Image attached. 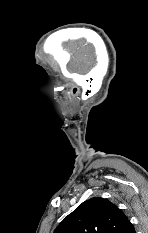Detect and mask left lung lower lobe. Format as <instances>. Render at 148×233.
I'll return each instance as SVG.
<instances>
[{"label":"left lung lower lobe","instance_id":"left-lung-lower-lobe-1","mask_svg":"<svg viewBox=\"0 0 148 233\" xmlns=\"http://www.w3.org/2000/svg\"><path fill=\"white\" fill-rule=\"evenodd\" d=\"M129 233H135V229H134V227L130 230V232Z\"/></svg>","mask_w":148,"mask_h":233}]
</instances>
